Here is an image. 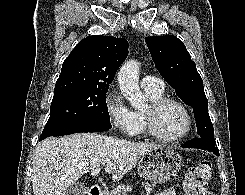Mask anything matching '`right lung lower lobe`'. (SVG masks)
Here are the masks:
<instances>
[{"instance_id":"obj_1","label":"right lung lower lobe","mask_w":245,"mask_h":195,"mask_svg":"<svg viewBox=\"0 0 245 195\" xmlns=\"http://www.w3.org/2000/svg\"><path fill=\"white\" fill-rule=\"evenodd\" d=\"M111 127L112 126L110 124V121L93 120V121H88V122L76 125L54 136H63V135L79 133V132H99V131L109 130ZM41 140L42 139H40V141Z\"/></svg>"}]
</instances>
